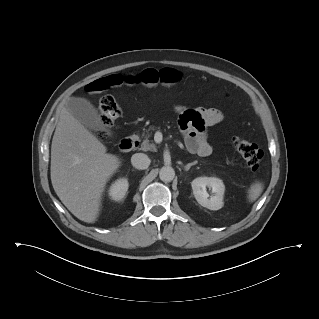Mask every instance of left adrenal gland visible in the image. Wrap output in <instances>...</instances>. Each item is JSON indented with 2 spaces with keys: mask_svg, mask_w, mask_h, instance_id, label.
Returning a JSON list of instances; mask_svg holds the SVG:
<instances>
[{
  "mask_svg": "<svg viewBox=\"0 0 319 319\" xmlns=\"http://www.w3.org/2000/svg\"><path fill=\"white\" fill-rule=\"evenodd\" d=\"M196 163H197L196 161L192 163H188L187 165L184 166V170L188 171L191 168V166L195 165Z\"/></svg>",
  "mask_w": 319,
  "mask_h": 319,
  "instance_id": "1",
  "label": "left adrenal gland"
}]
</instances>
